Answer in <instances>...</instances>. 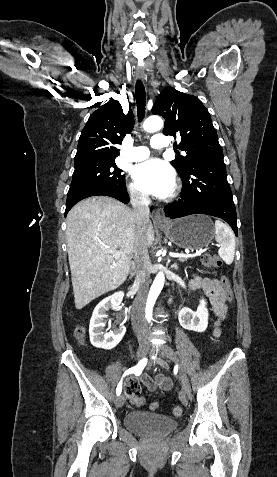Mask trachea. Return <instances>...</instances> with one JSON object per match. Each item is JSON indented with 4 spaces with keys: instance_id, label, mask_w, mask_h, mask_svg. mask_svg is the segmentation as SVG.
Masks as SVG:
<instances>
[{
    "instance_id": "3493384b",
    "label": "trachea",
    "mask_w": 277,
    "mask_h": 477,
    "mask_svg": "<svg viewBox=\"0 0 277 477\" xmlns=\"http://www.w3.org/2000/svg\"><path fill=\"white\" fill-rule=\"evenodd\" d=\"M135 97L137 103L138 120L142 121L145 115L146 93L143 83L137 80L135 85Z\"/></svg>"
}]
</instances>
